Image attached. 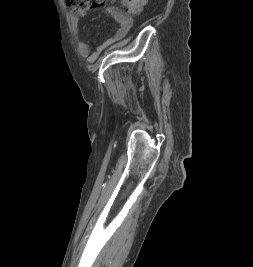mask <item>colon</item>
Listing matches in <instances>:
<instances>
[{
  "label": "colon",
  "instance_id": "obj_1",
  "mask_svg": "<svg viewBox=\"0 0 253 267\" xmlns=\"http://www.w3.org/2000/svg\"><path fill=\"white\" fill-rule=\"evenodd\" d=\"M68 8L89 10L99 7L103 0H64ZM146 0H122L124 12L129 16L138 15L145 6Z\"/></svg>",
  "mask_w": 253,
  "mask_h": 267
}]
</instances>
